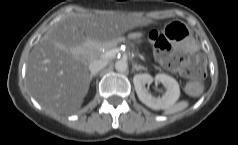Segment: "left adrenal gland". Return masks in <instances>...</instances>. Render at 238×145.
Instances as JSON below:
<instances>
[{"label":"left adrenal gland","instance_id":"obj_1","mask_svg":"<svg viewBox=\"0 0 238 145\" xmlns=\"http://www.w3.org/2000/svg\"><path fill=\"white\" fill-rule=\"evenodd\" d=\"M133 67H134V69H135L136 71H139V70H147V68H145V67H143V66H141V65H137V64H134Z\"/></svg>","mask_w":238,"mask_h":145}]
</instances>
